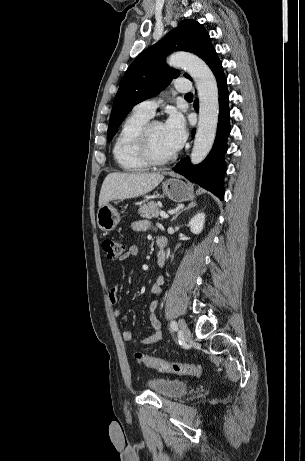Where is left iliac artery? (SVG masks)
I'll return each instance as SVG.
<instances>
[{
	"label": "left iliac artery",
	"instance_id": "44dca946",
	"mask_svg": "<svg viewBox=\"0 0 305 461\" xmlns=\"http://www.w3.org/2000/svg\"><path fill=\"white\" fill-rule=\"evenodd\" d=\"M170 327L173 331H177L178 329L177 323L175 321L170 322Z\"/></svg>",
	"mask_w": 305,
	"mask_h": 461
}]
</instances>
